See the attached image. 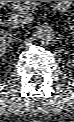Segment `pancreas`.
<instances>
[{
    "label": "pancreas",
    "instance_id": "obj_1",
    "mask_svg": "<svg viewBox=\"0 0 74 122\" xmlns=\"http://www.w3.org/2000/svg\"><path fill=\"white\" fill-rule=\"evenodd\" d=\"M9 3L14 8L32 10L39 5L40 1H9Z\"/></svg>",
    "mask_w": 74,
    "mask_h": 122
}]
</instances>
